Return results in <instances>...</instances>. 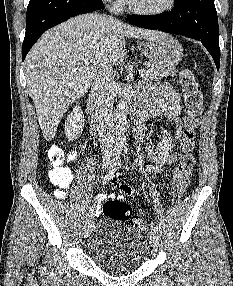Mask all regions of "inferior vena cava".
<instances>
[{
	"mask_svg": "<svg viewBox=\"0 0 233 286\" xmlns=\"http://www.w3.org/2000/svg\"><path fill=\"white\" fill-rule=\"evenodd\" d=\"M92 93L96 106V123L99 133L106 134L107 141L113 145L114 123L112 115L113 107V81L112 67L101 65L97 76L92 83ZM106 140V139H105ZM104 145V139L102 138Z\"/></svg>",
	"mask_w": 233,
	"mask_h": 286,
	"instance_id": "602c4592",
	"label": "inferior vena cava"
}]
</instances>
